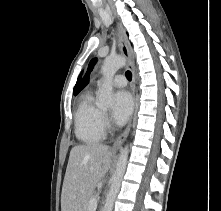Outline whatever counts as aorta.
<instances>
[{
  "mask_svg": "<svg viewBox=\"0 0 221 211\" xmlns=\"http://www.w3.org/2000/svg\"><path fill=\"white\" fill-rule=\"evenodd\" d=\"M126 65V59L121 56L107 57L102 66V74L104 82L99 89L97 106L100 108H108L114 103L112 81L115 73ZM129 147L126 145L120 153L117 161L116 170L111 179L110 191L107 195L103 211H112L116 195L120 189L121 182L126 170Z\"/></svg>",
  "mask_w": 221,
  "mask_h": 211,
  "instance_id": "obj_1",
  "label": "aorta"
}]
</instances>
